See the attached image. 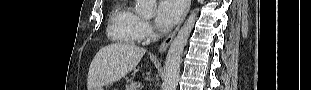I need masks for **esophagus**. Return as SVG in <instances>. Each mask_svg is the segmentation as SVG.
Returning <instances> with one entry per match:
<instances>
[{
    "instance_id": "esophagus-1",
    "label": "esophagus",
    "mask_w": 311,
    "mask_h": 90,
    "mask_svg": "<svg viewBox=\"0 0 311 90\" xmlns=\"http://www.w3.org/2000/svg\"><path fill=\"white\" fill-rule=\"evenodd\" d=\"M190 6H191V0H186V6H185V10L182 14V17L177 25V27L175 28V30L170 33L165 39L164 41L161 43L159 49H158V54H162L166 51V49L168 48V46L170 45V43L172 42V40L174 39L177 31L179 30L181 24L183 23L187 13L189 12V9H190Z\"/></svg>"
}]
</instances>
